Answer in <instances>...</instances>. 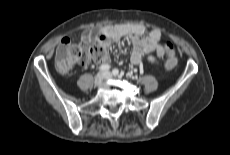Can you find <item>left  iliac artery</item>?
Segmentation results:
<instances>
[{"label":"left iliac artery","instance_id":"1","mask_svg":"<svg viewBox=\"0 0 230 155\" xmlns=\"http://www.w3.org/2000/svg\"><path fill=\"white\" fill-rule=\"evenodd\" d=\"M112 73H113L114 76H117V75H119V70L118 69H113Z\"/></svg>","mask_w":230,"mask_h":155}]
</instances>
